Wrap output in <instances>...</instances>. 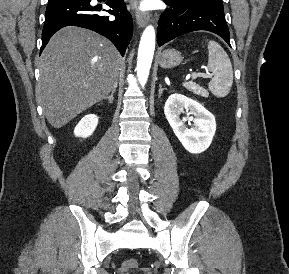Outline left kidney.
Masks as SVG:
<instances>
[{
  "instance_id": "left-kidney-1",
  "label": "left kidney",
  "mask_w": 289,
  "mask_h": 274,
  "mask_svg": "<svg viewBox=\"0 0 289 274\" xmlns=\"http://www.w3.org/2000/svg\"><path fill=\"white\" fill-rule=\"evenodd\" d=\"M184 109L194 115V118H189L193 122L191 128L184 124L185 118H180ZM164 114L175 135L188 152L199 154L210 146L216 131V121L215 117L200 103L175 93L165 102Z\"/></svg>"
}]
</instances>
